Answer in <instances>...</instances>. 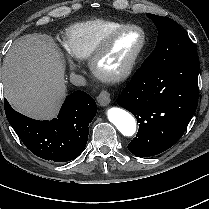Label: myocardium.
<instances>
[{
  "label": "myocardium",
  "mask_w": 209,
  "mask_h": 209,
  "mask_svg": "<svg viewBox=\"0 0 209 209\" xmlns=\"http://www.w3.org/2000/svg\"><path fill=\"white\" fill-rule=\"evenodd\" d=\"M135 30L141 33L142 40L141 44L138 47V49L135 51V53L132 55V57L128 60V62L118 71L115 72H106L103 71L100 68V63L107 54L109 48L112 45V42L114 38L125 31ZM147 33L146 31L137 25L134 24H124L117 26L113 29H111L102 39V41L99 43V45L96 47L94 52L89 58V67L93 73V75L104 82H119L126 78H128L132 73L135 71L139 60L142 57V54L145 50L146 44H147Z\"/></svg>",
  "instance_id": "f54148a6"
}]
</instances>
